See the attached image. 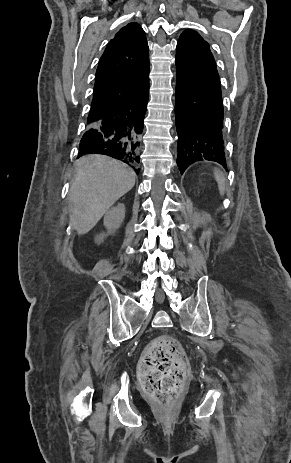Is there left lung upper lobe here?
I'll list each match as a JSON object with an SVG mask.
<instances>
[{
  "instance_id": "1",
  "label": "left lung upper lobe",
  "mask_w": 291,
  "mask_h": 463,
  "mask_svg": "<svg viewBox=\"0 0 291 463\" xmlns=\"http://www.w3.org/2000/svg\"><path fill=\"white\" fill-rule=\"evenodd\" d=\"M176 72L221 91L209 44L193 30L184 31L176 47Z\"/></svg>"
}]
</instances>
